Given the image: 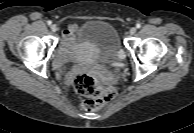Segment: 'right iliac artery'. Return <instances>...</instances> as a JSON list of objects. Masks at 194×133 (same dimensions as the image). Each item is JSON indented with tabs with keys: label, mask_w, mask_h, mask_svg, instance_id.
<instances>
[{
	"label": "right iliac artery",
	"mask_w": 194,
	"mask_h": 133,
	"mask_svg": "<svg viewBox=\"0 0 194 133\" xmlns=\"http://www.w3.org/2000/svg\"><path fill=\"white\" fill-rule=\"evenodd\" d=\"M47 24H48V25H51V24H52V22H51V21H47Z\"/></svg>",
	"instance_id": "right-iliac-artery-1"
}]
</instances>
